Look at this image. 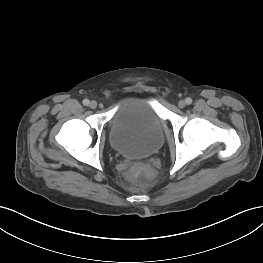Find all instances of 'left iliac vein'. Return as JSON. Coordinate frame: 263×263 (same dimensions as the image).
I'll use <instances>...</instances> for the list:
<instances>
[{
    "instance_id": "1",
    "label": "left iliac vein",
    "mask_w": 263,
    "mask_h": 263,
    "mask_svg": "<svg viewBox=\"0 0 263 263\" xmlns=\"http://www.w3.org/2000/svg\"><path fill=\"white\" fill-rule=\"evenodd\" d=\"M186 106V102L184 101V100H180L179 102H178V107L179 108H184Z\"/></svg>"
}]
</instances>
